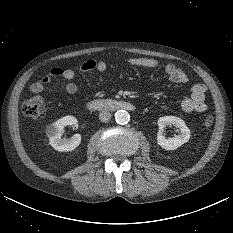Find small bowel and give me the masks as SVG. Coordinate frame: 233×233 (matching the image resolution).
<instances>
[{
	"label": "small bowel",
	"instance_id": "c3829d8e",
	"mask_svg": "<svg viewBox=\"0 0 233 233\" xmlns=\"http://www.w3.org/2000/svg\"><path fill=\"white\" fill-rule=\"evenodd\" d=\"M128 63L133 66L144 68H156L158 66L157 60L149 57H129ZM106 69L107 63L104 60L88 59L80 66V71L82 72H90L95 70L99 73H103L106 71ZM165 72L169 79L176 84H185L189 80L188 75L182 69L173 64L167 65ZM74 77V70L54 67L50 69V71L44 77L31 85V91L33 93H41L53 80L62 78L69 80V82L66 84V91L69 94H75L78 87L76 83L72 81ZM206 92L207 88L204 84L198 83L193 85L190 96L184 98L180 103L181 110L185 113L204 112L207 109L205 100Z\"/></svg>",
	"mask_w": 233,
	"mask_h": 233
}]
</instances>
